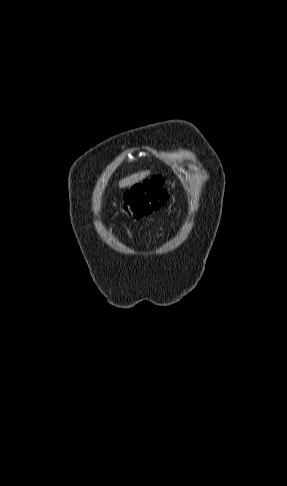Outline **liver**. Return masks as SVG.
Instances as JSON below:
<instances>
[{"label": "liver", "instance_id": "6515ba94", "mask_svg": "<svg viewBox=\"0 0 287 486\" xmlns=\"http://www.w3.org/2000/svg\"><path fill=\"white\" fill-rule=\"evenodd\" d=\"M150 174V171H141L135 174H132L131 176H128L122 180L119 181V187L120 188H125V187H130L139 181L145 179L148 175Z\"/></svg>", "mask_w": 287, "mask_h": 486}]
</instances>
